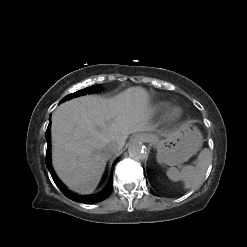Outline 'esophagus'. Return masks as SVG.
Masks as SVG:
<instances>
[{"mask_svg": "<svg viewBox=\"0 0 247 247\" xmlns=\"http://www.w3.org/2000/svg\"><path fill=\"white\" fill-rule=\"evenodd\" d=\"M139 140H141L142 142H151L153 141V137L149 134H142L139 136Z\"/></svg>", "mask_w": 247, "mask_h": 247, "instance_id": "obj_1", "label": "esophagus"}]
</instances>
